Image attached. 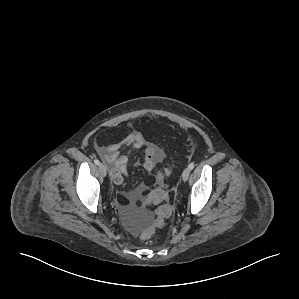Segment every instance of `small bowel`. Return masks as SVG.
<instances>
[{"mask_svg": "<svg viewBox=\"0 0 299 299\" xmlns=\"http://www.w3.org/2000/svg\"><path fill=\"white\" fill-rule=\"evenodd\" d=\"M139 148L144 149V158L141 162H136L135 166L142 165L145 170L153 172L156 165L163 161L164 152L156 143L147 139L141 131H132L119 143L98 147L99 155L109 166L110 177L116 185L124 187V175L128 173L127 153ZM124 149L128 150L127 153L123 152ZM147 193L148 187L143 184L139 185L134 192L122 191L126 203L120 205V210L126 218L130 219L138 212L136 201L138 199L145 201Z\"/></svg>", "mask_w": 299, "mask_h": 299, "instance_id": "1", "label": "small bowel"}]
</instances>
